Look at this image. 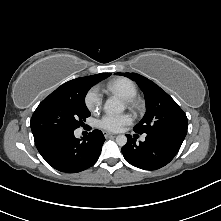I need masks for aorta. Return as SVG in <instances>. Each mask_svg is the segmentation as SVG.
<instances>
[{
	"instance_id": "762f6f07",
	"label": "aorta",
	"mask_w": 221,
	"mask_h": 221,
	"mask_svg": "<svg viewBox=\"0 0 221 221\" xmlns=\"http://www.w3.org/2000/svg\"><path fill=\"white\" fill-rule=\"evenodd\" d=\"M125 110L124 104L117 98H109L104 104V111L108 114H120ZM116 143L119 146H124L127 143V137L125 135H118L116 137Z\"/></svg>"
}]
</instances>
